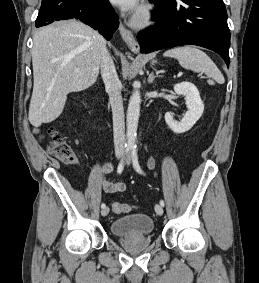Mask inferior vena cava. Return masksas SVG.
Wrapping results in <instances>:
<instances>
[{
    "mask_svg": "<svg viewBox=\"0 0 259 283\" xmlns=\"http://www.w3.org/2000/svg\"><path fill=\"white\" fill-rule=\"evenodd\" d=\"M100 68L112 108L114 145L116 149H124L126 138L121 82L118 78L114 62L105 46L101 50Z\"/></svg>",
    "mask_w": 259,
    "mask_h": 283,
    "instance_id": "602c4592",
    "label": "inferior vena cava"
}]
</instances>
